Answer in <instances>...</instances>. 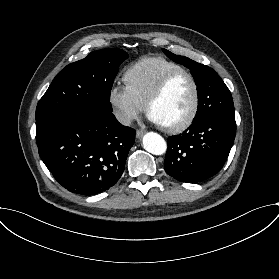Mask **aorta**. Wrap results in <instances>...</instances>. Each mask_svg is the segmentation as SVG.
I'll return each mask as SVG.
<instances>
[{"label": "aorta", "instance_id": "762f6f07", "mask_svg": "<svg viewBox=\"0 0 279 279\" xmlns=\"http://www.w3.org/2000/svg\"><path fill=\"white\" fill-rule=\"evenodd\" d=\"M142 142L144 149L154 155H162L167 150V144L164 138L154 132L145 134Z\"/></svg>", "mask_w": 279, "mask_h": 279}]
</instances>
